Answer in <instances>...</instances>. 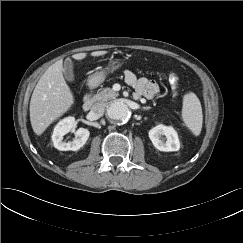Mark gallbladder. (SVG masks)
<instances>
[{"mask_svg": "<svg viewBox=\"0 0 243 243\" xmlns=\"http://www.w3.org/2000/svg\"><path fill=\"white\" fill-rule=\"evenodd\" d=\"M63 72L67 81L69 82L74 81L75 76L73 71V61L70 58L65 60Z\"/></svg>", "mask_w": 243, "mask_h": 243, "instance_id": "obj_1", "label": "gallbladder"}]
</instances>
